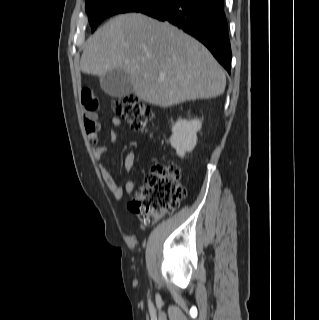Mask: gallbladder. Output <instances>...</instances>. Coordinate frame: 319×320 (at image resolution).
<instances>
[{"label":"gallbladder","mask_w":319,"mask_h":320,"mask_svg":"<svg viewBox=\"0 0 319 320\" xmlns=\"http://www.w3.org/2000/svg\"><path fill=\"white\" fill-rule=\"evenodd\" d=\"M102 90L111 97L122 98L133 93L130 76L122 70L109 71L100 78Z\"/></svg>","instance_id":"gallbladder-1"}]
</instances>
